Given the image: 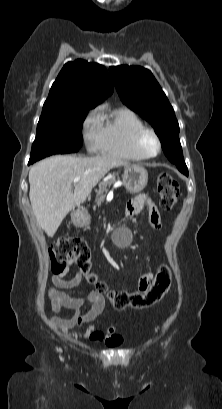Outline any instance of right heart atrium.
Returning a JSON list of instances; mask_svg holds the SVG:
<instances>
[{"mask_svg":"<svg viewBox=\"0 0 222 409\" xmlns=\"http://www.w3.org/2000/svg\"><path fill=\"white\" fill-rule=\"evenodd\" d=\"M101 131V120L97 109L90 111L82 124V133L84 141L89 150L94 151L98 148Z\"/></svg>","mask_w":222,"mask_h":409,"instance_id":"d8ad5b80","label":"right heart atrium"}]
</instances>
